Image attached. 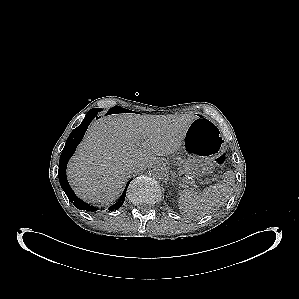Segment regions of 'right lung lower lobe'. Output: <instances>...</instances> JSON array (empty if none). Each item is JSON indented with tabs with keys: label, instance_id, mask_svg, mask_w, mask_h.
<instances>
[{
	"label": "right lung lower lobe",
	"instance_id": "1",
	"mask_svg": "<svg viewBox=\"0 0 299 299\" xmlns=\"http://www.w3.org/2000/svg\"><path fill=\"white\" fill-rule=\"evenodd\" d=\"M96 115H97V112L87 113L83 122L71 132V134L69 135V137L66 141L64 149L61 153L60 161H59L58 176H59L60 185H61L62 189L64 190V192L66 193L69 200L79 210L96 211L97 208L83 202L75 195V193L71 189V187L67 181V178H66V167H67V163H68L70 157L75 152L77 145L81 142L90 122L92 121L93 118L96 117ZM96 119H98V117ZM131 180L128 181L126 188H125L122 196L118 199V201L108 208L109 211L117 210L120 208V206L123 205L125 196H126V191H127V188L129 186V183L131 182Z\"/></svg>",
	"mask_w": 299,
	"mask_h": 299
}]
</instances>
